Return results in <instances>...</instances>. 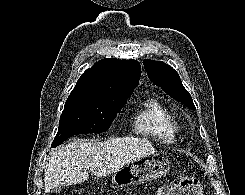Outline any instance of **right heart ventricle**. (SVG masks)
I'll list each match as a JSON object with an SVG mask.
<instances>
[{"mask_svg": "<svg viewBox=\"0 0 245 195\" xmlns=\"http://www.w3.org/2000/svg\"><path fill=\"white\" fill-rule=\"evenodd\" d=\"M131 127L139 136L162 142H172L176 136L174 117L155 99H148L138 106Z\"/></svg>", "mask_w": 245, "mask_h": 195, "instance_id": "obj_1", "label": "right heart ventricle"}]
</instances>
